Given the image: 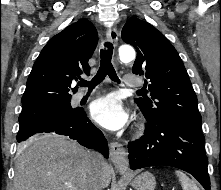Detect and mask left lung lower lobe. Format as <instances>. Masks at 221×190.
Segmentation results:
<instances>
[{
    "mask_svg": "<svg viewBox=\"0 0 221 190\" xmlns=\"http://www.w3.org/2000/svg\"><path fill=\"white\" fill-rule=\"evenodd\" d=\"M204 141L202 132L178 120L147 119L144 135L128 144L130 168L176 167L193 175L205 190H210Z\"/></svg>",
    "mask_w": 221,
    "mask_h": 190,
    "instance_id": "left-lung-lower-lobe-1",
    "label": "left lung lower lobe"
}]
</instances>
